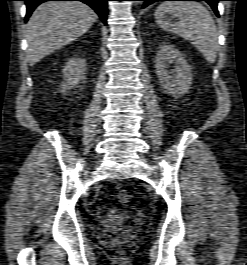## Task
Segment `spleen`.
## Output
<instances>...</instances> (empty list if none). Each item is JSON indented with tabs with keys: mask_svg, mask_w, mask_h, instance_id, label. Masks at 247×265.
<instances>
[{
	"mask_svg": "<svg viewBox=\"0 0 247 265\" xmlns=\"http://www.w3.org/2000/svg\"><path fill=\"white\" fill-rule=\"evenodd\" d=\"M169 13L177 22L165 21ZM158 25L170 33L188 40L209 63H214L218 51V34L209 11L195 1H166L155 11Z\"/></svg>",
	"mask_w": 247,
	"mask_h": 265,
	"instance_id": "1",
	"label": "spleen"
}]
</instances>
